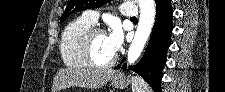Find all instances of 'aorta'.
I'll return each instance as SVG.
<instances>
[{
	"label": "aorta",
	"instance_id": "obj_1",
	"mask_svg": "<svg viewBox=\"0 0 225 92\" xmlns=\"http://www.w3.org/2000/svg\"><path fill=\"white\" fill-rule=\"evenodd\" d=\"M138 2L140 7V19L134 39L127 54V61L129 64H134L141 55L155 21V1L138 0Z\"/></svg>",
	"mask_w": 225,
	"mask_h": 92
}]
</instances>
